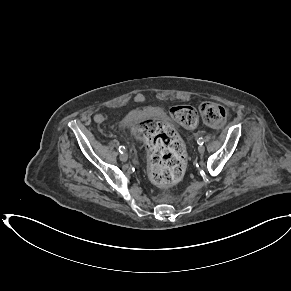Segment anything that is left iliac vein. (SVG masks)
<instances>
[{"mask_svg": "<svg viewBox=\"0 0 291 291\" xmlns=\"http://www.w3.org/2000/svg\"><path fill=\"white\" fill-rule=\"evenodd\" d=\"M198 152H199L200 154L204 153V152H205V147H204L203 145H200V146L198 147Z\"/></svg>", "mask_w": 291, "mask_h": 291, "instance_id": "1", "label": "left iliac vein"}]
</instances>
